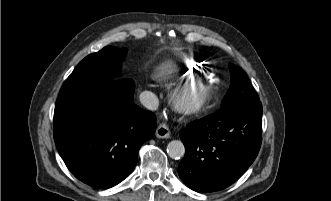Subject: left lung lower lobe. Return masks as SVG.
I'll return each instance as SVG.
<instances>
[{
	"label": "left lung lower lobe",
	"instance_id": "left-lung-lower-lobe-1",
	"mask_svg": "<svg viewBox=\"0 0 331 201\" xmlns=\"http://www.w3.org/2000/svg\"><path fill=\"white\" fill-rule=\"evenodd\" d=\"M260 100L225 106L180 131L185 156L181 180L192 190L207 193L234 183L253 163L260 146Z\"/></svg>",
	"mask_w": 331,
	"mask_h": 201
}]
</instances>
